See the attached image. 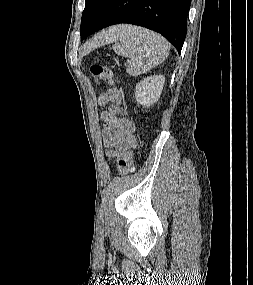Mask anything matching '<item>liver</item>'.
<instances>
[{"instance_id":"6515ba94","label":"liver","mask_w":253,"mask_h":285,"mask_svg":"<svg viewBox=\"0 0 253 285\" xmlns=\"http://www.w3.org/2000/svg\"><path fill=\"white\" fill-rule=\"evenodd\" d=\"M128 26L121 25L117 27H113L107 31H103L99 36H97L94 41H92L90 47H95L105 42H110L116 37L120 32L124 31Z\"/></svg>"}]
</instances>
